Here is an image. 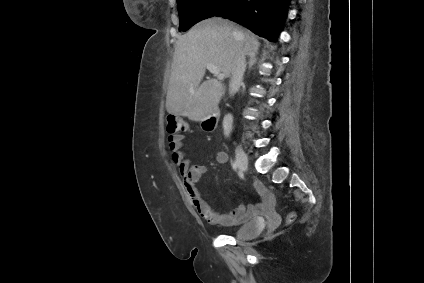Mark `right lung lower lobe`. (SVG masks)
Returning a JSON list of instances; mask_svg holds the SVG:
<instances>
[{
	"label": "right lung lower lobe",
	"mask_w": 424,
	"mask_h": 283,
	"mask_svg": "<svg viewBox=\"0 0 424 283\" xmlns=\"http://www.w3.org/2000/svg\"><path fill=\"white\" fill-rule=\"evenodd\" d=\"M289 0H234L217 17L237 22L255 34L275 41Z\"/></svg>",
	"instance_id": "98d812e1"
}]
</instances>
